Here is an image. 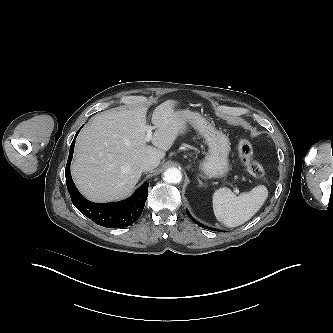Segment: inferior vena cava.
Masks as SVG:
<instances>
[{"label": "inferior vena cava", "mask_w": 333, "mask_h": 333, "mask_svg": "<svg viewBox=\"0 0 333 333\" xmlns=\"http://www.w3.org/2000/svg\"><path fill=\"white\" fill-rule=\"evenodd\" d=\"M160 161L158 159L148 158L141 162V169L143 171H149L156 168L159 165Z\"/></svg>", "instance_id": "obj_1"}]
</instances>
